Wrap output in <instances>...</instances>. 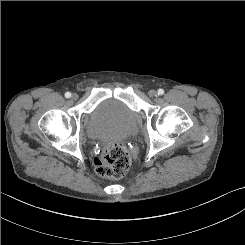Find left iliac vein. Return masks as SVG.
I'll list each match as a JSON object with an SVG mask.
<instances>
[{
  "label": "left iliac vein",
  "mask_w": 245,
  "mask_h": 245,
  "mask_svg": "<svg viewBox=\"0 0 245 245\" xmlns=\"http://www.w3.org/2000/svg\"><path fill=\"white\" fill-rule=\"evenodd\" d=\"M148 95H149L151 98H153V97H156V96H157V92H156L155 90H150V91L148 92Z\"/></svg>",
  "instance_id": "1"
}]
</instances>
